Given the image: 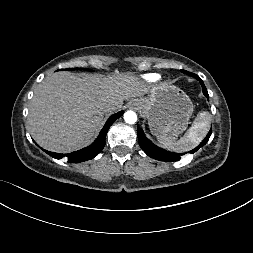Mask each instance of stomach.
<instances>
[{
  "instance_id": "0dacf381",
  "label": "stomach",
  "mask_w": 253,
  "mask_h": 253,
  "mask_svg": "<svg viewBox=\"0 0 253 253\" xmlns=\"http://www.w3.org/2000/svg\"><path fill=\"white\" fill-rule=\"evenodd\" d=\"M135 108L148 120L156 136L175 139L183 133L193 113V104L184 91L173 85L154 87L146 98L132 100Z\"/></svg>"
}]
</instances>
